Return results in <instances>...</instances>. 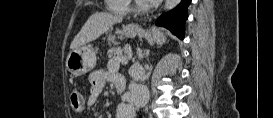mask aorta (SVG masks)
Returning a JSON list of instances; mask_svg holds the SVG:
<instances>
[{"label":"aorta","mask_w":273,"mask_h":118,"mask_svg":"<svg viewBox=\"0 0 273 118\" xmlns=\"http://www.w3.org/2000/svg\"><path fill=\"white\" fill-rule=\"evenodd\" d=\"M180 3V0H166L165 1V10L169 11L175 8Z\"/></svg>","instance_id":"762f6f07"}]
</instances>
